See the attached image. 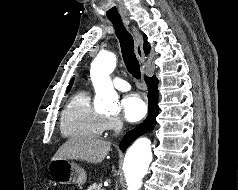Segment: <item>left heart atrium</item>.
<instances>
[{
    "mask_svg": "<svg viewBox=\"0 0 238 190\" xmlns=\"http://www.w3.org/2000/svg\"><path fill=\"white\" fill-rule=\"evenodd\" d=\"M122 114L129 122L141 120L146 112L147 106L144 100L138 94H128L121 102Z\"/></svg>",
    "mask_w": 238,
    "mask_h": 190,
    "instance_id": "obj_1",
    "label": "left heart atrium"
}]
</instances>
